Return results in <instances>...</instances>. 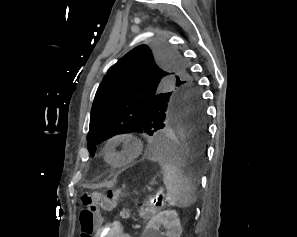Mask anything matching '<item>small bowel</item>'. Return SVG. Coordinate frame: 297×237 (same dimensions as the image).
I'll use <instances>...</instances> for the list:
<instances>
[{
  "instance_id": "small-bowel-1",
  "label": "small bowel",
  "mask_w": 297,
  "mask_h": 237,
  "mask_svg": "<svg viewBox=\"0 0 297 237\" xmlns=\"http://www.w3.org/2000/svg\"><path fill=\"white\" fill-rule=\"evenodd\" d=\"M95 237H132L124 231L123 226L113 221L101 226L95 234Z\"/></svg>"
}]
</instances>
